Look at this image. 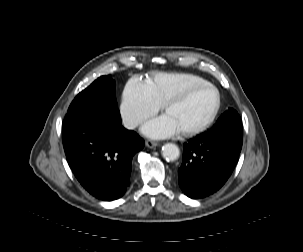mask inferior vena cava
I'll list each match as a JSON object with an SVG mask.
<instances>
[{
    "mask_svg": "<svg viewBox=\"0 0 303 252\" xmlns=\"http://www.w3.org/2000/svg\"><path fill=\"white\" fill-rule=\"evenodd\" d=\"M139 121L135 118L125 117L123 118V125L127 129H134L139 125Z\"/></svg>",
    "mask_w": 303,
    "mask_h": 252,
    "instance_id": "obj_1",
    "label": "inferior vena cava"
}]
</instances>
